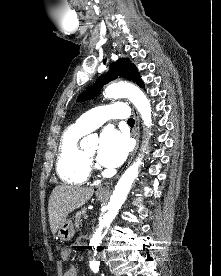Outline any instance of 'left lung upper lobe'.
I'll return each instance as SVG.
<instances>
[{"mask_svg": "<svg viewBox=\"0 0 221 276\" xmlns=\"http://www.w3.org/2000/svg\"><path fill=\"white\" fill-rule=\"evenodd\" d=\"M117 77H123L132 80L136 82L140 87H144V83L140 79V75L135 65L131 64L129 60L121 58L110 65L109 72L105 75L100 76L97 82L87 89L85 95H83L80 100L96 96L97 94H99L100 89L104 84L116 79Z\"/></svg>", "mask_w": 221, "mask_h": 276, "instance_id": "left-lung-upper-lobe-1", "label": "left lung upper lobe"}]
</instances>
